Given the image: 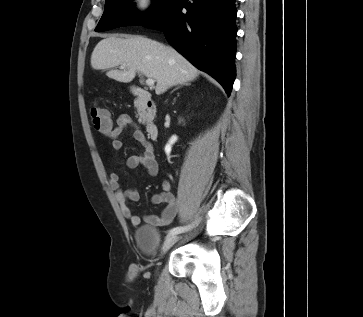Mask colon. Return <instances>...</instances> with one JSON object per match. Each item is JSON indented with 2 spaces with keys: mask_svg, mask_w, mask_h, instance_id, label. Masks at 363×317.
<instances>
[{
  "mask_svg": "<svg viewBox=\"0 0 363 317\" xmlns=\"http://www.w3.org/2000/svg\"><path fill=\"white\" fill-rule=\"evenodd\" d=\"M90 117L92 125L97 131L105 132L110 129L111 121L104 108L93 105L90 110Z\"/></svg>",
  "mask_w": 363,
  "mask_h": 317,
  "instance_id": "colon-1",
  "label": "colon"
}]
</instances>
